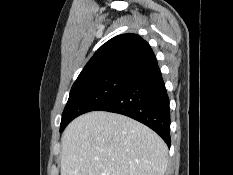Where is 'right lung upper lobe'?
Masks as SVG:
<instances>
[{"mask_svg": "<svg viewBox=\"0 0 233 175\" xmlns=\"http://www.w3.org/2000/svg\"><path fill=\"white\" fill-rule=\"evenodd\" d=\"M156 65V57L144 39L136 34H123L102 45L75 82L111 74L135 77Z\"/></svg>", "mask_w": 233, "mask_h": 175, "instance_id": "cb5924a9", "label": "right lung upper lobe"}]
</instances>
